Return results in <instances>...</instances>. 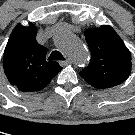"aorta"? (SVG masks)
<instances>
[{"label":"aorta","mask_w":135,"mask_h":135,"mask_svg":"<svg viewBox=\"0 0 135 135\" xmlns=\"http://www.w3.org/2000/svg\"><path fill=\"white\" fill-rule=\"evenodd\" d=\"M54 40L58 48L67 54L75 64L83 66L88 63V51L76 35L68 31H60L55 35Z\"/></svg>","instance_id":"1"}]
</instances>
